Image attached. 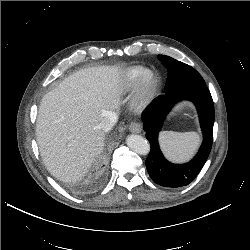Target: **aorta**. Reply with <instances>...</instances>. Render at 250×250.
Instances as JSON below:
<instances>
[{"label":"aorta","mask_w":250,"mask_h":250,"mask_svg":"<svg viewBox=\"0 0 250 250\" xmlns=\"http://www.w3.org/2000/svg\"><path fill=\"white\" fill-rule=\"evenodd\" d=\"M126 143L137 154L147 155L150 152L149 142L140 135L131 134L127 136Z\"/></svg>","instance_id":"762f6f07"}]
</instances>
